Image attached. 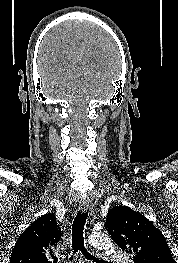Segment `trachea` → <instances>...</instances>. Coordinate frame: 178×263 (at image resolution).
<instances>
[{"instance_id":"trachea-1","label":"trachea","mask_w":178,"mask_h":263,"mask_svg":"<svg viewBox=\"0 0 178 263\" xmlns=\"http://www.w3.org/2000/svg\"><path fill=\"white\" fill-rule=\"evenodd\" d=\"M88 217V211L86 212H78L72 225V249L73 254H75L78 250L82 252V254L89 260H93L96 263H108L104 260H99L95 256L88 253L84 246V225L86 223V219ZM57 263V260L54 261Z\"/></svg>"}]
</instances>
